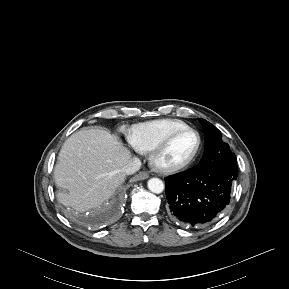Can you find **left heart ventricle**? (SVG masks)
<instances>
[{
    "mask_svg": "<svg viewBox=\"0 0 289 289\" xmlns=\"http://www.w3.org/2000/svg\"><path fill=\"white\" fill-rule=\"evenodd\" d=\"M197 136L186 132L176 137L161 156L165 164L178 163L187 159L197 146Z\"/></svg>",
    "mask_w": 289,
    "mask_h": 289,
    "instance_id": "left-heart-ventricle-1",
    "label": "left heart ventricle"
}]
</instances>
